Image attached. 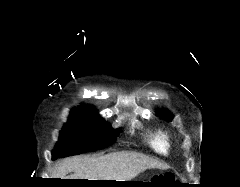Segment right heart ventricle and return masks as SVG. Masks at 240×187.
I'll list each match as a JSON object with an SVG mask.
<instances>
[{
    "label": "right heart ventricle",
    "instance_id": "e07e8e85",
    "mask_svg": "<svg viewBox=\"0 0 240 187\" xmlns=\"http://www.w3.org/2000/svg\"><path fill=\"white\" fill-rule=\"evenodd\" d=\"M150 147L158 154L167 155L171 149V138L162 130H156L148 136Z\"/></svg>",
    "mask_w": 240,
    "mask_h": 187
}]
</instances>
